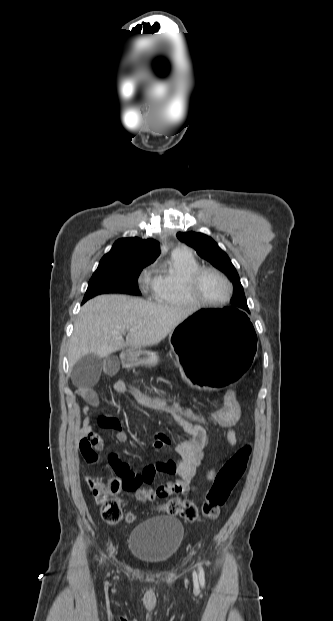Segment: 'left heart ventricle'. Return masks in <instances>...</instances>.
Segmentation results:
<instances>
[{"mask_svg": "<svg viewBox=\"0 0 333 621\" xmlns=\"http://www.w3.org/2000/svg\"><path fill=\"white\" fill-rule=\"evenodd\" d=\"M199 295L209 301H220L228 293L226 283L216 274L205 273L198 283Z\"/></svg>", "mask_w": 333, "mask_h": 621, "instance_id": "obj_1", "label": "left heart ventricle"}]
</instances>
